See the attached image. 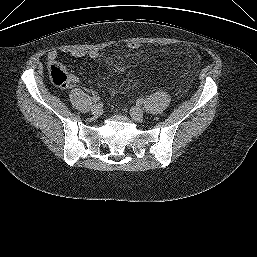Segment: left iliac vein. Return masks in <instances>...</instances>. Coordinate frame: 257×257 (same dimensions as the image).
<instances>
[{"instance_id": "left-iliac-vein-1", "label": "left iliac vein", "mask_w": 257, "mask_h": 257, "mask_svg": "<svg viewBox=\"0 0 257 257\" xmlns=\"http://www.w3.org/2000/svg\"><path fill=\"white\" fill-rule=\"evenodd\" d=\"M130 115L133 120L135 121H141L143 119L144 113L143 110L139 107H132L130 109Z\"/></svg>"}]
</instances>
